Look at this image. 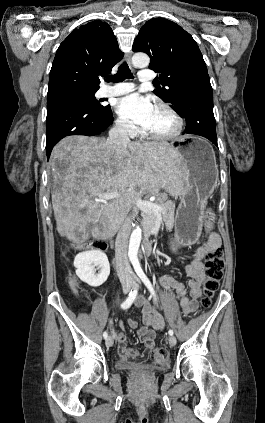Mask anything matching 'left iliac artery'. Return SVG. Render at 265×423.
<instances>
[{
  "label": "left iliac artery",
  "mask_w": 265,
  "mask_h": 423,
  "mask_svg": "<svg viewBox=\"0 0 265 423\" xmlns=\"http://www.w3.org/2000/svg\"><path fill=\"white\" fill-rule=\"evenodd\" d=\"M134 269L137 273V275L140 277V279L143 281V283L146 285V287L148 288V290L150 291L151 295L153 296L154 300L157 301V296L155 293V290L150 282V280L147 278V276L145 275V273L143 272L140 263L139 262H135L134 263ZM169 335H173V330L170 329L168 331Z\"/></svg>",
  "instance_id": "obj_1"
}]
</instances>
